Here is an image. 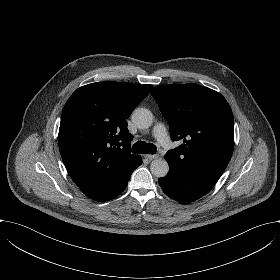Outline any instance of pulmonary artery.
Masks as SVG:
<instances>
[{
    "label": "pulmonary artery",
    "mask_w": 280,
    "mask_h": 280,
    "mask_svg": "<svg viewBox=\"0 0 280 280\" xmlns=\"http://www.w3.org/2000/svg\"><path fill=\"white\" fill-rule=\"evenodd\" d=\"M153 135L164 148L169 149L173 147L164 124L157 123L153 129Z\"/></svg>",
    "instance_id": "pulmonary-artery-1"
}]
</instances>
